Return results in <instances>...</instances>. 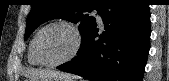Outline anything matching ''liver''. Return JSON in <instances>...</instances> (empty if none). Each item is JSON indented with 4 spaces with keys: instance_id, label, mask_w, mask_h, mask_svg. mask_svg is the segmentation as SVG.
Segmentation results:
<instances>
[{
    "instance_id": "1",
    "label": "liver",
    "mask_w": 169,
    "mask_h": 81,
    "mask_svg": "<svg viewBox=\"0 0 169 81\" xmlns=\"http://www.w3.org/2000/svg\"><path fill=\"white\" fill-rule=\"evenodd\" d=\"M25 75L28 76L31 81L35 80H47L52 78H60V79H72L71 76L58 72V71H50V70H36L32 69L25 72Z\"/></svg>"
}]
</instances>
